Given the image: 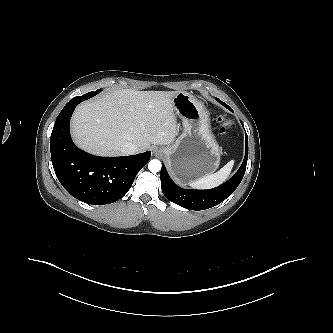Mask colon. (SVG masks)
I'll return each instance as SVG.
<instances>
[{
	"instance_id": "obj_1",
	"label": "colon",
	"mask_w": 333,
	"mask_h": 333,
	"mask_svg": "<svg viewBox=\"0 0 333 333\" xmlns=\"http://www.w3.org/2000/svg\"><path fill=\"white\" fill-rule=\"evenodd\" d=\"M218 120L222 124V132L223 133H230L234 130V123L231 119H229L226 115L224 114H219Z\"/></svg>"
}]
</instances>
